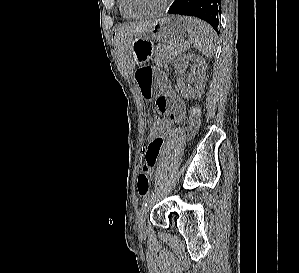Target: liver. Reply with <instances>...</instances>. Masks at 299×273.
Instances as JSON below:
<instances>
[{
    "instance_id": "obj_1",
    "label": "liver",
    "mask_w": 299,
    "mask_h": 273,
    "mask_svg": "<svg viewBox=\"0 0 299 273\" xmlns=\"http://www.w3.org/2000/svg\"><path fill=\"white\" fill-rule=\"evenodd\" d=\"M157 21L158 20L126 23L118 27L114 42L120 59L129 70L133 71L136 64L132 53L133 41L146 36Z\"/></svg>"
}]
</instances>
